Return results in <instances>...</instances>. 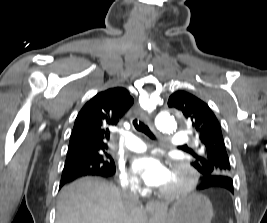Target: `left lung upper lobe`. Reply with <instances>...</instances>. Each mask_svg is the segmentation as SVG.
Listing matches in <instances>:
<instances>
[{
  "label": "left lung upper lobe",
  "instance_id": "1",
  "mask_svg": "<svg viewBox=\"0 0 267 223\" xmlns=\"http://www.w3.org/2000/svg\"><path fill=\"white\" fill-rule=\"evenodd\" d=\"M168 106L181 111L197 132L203 153L194 155L191 165L201 174L229 173L230 178L231 167L221 127L208 105L188 92L177 91L169 97ZM208 179L211 178H203Z\"/></svg>",
  "mask_w": 267,
  "mask_h": 223
}]
</instances>
